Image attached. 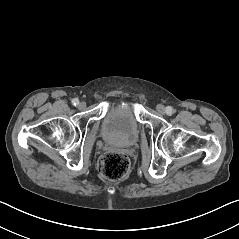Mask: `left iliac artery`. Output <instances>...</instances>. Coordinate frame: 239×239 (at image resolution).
Segmentation results:
<instances>
[{
	"label": "left iliac artery",
	"instance_id": "44dca946",
	"mask_svg": "<svg viewBox=\"0 0 239 239\" xmlns=\"http://www.w3.org/2000/svg\"><path fill=\"white\" fill-rule=\"evenodd\" d=\"M174 110L171 106L166 107V114L171 116L173 114Z\"/></svg>",
	"mask_w": 239,
	"mask_h": 239
}]
</instances>
